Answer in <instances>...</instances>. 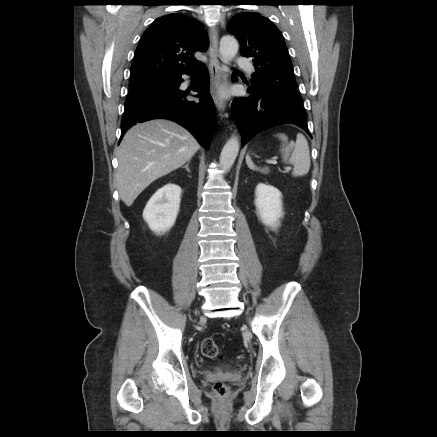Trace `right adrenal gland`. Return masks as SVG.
<instances>
[{
  "mask_svg": "<svg viewBox=\"0 0 437 437\" xmlns=\"http://www.w3.org/2000/svg\"><path fill=\"white\" fill-rule=\"evenodd\" d=\"M189 164H190V161H188L187 164L183 168H185L187 170V172L190 173Z\"/></svg>",
  "mask_w": 437,
  "mask_h": 437,
  "instance_id": "obj_1",
  "label": "right adrenal gland"
}]
</instances>
